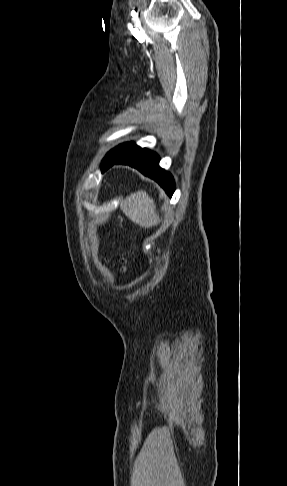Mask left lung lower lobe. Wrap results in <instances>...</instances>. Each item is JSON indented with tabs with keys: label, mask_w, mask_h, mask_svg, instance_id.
Wrapping results in <instances>:
<instances>
[{
	"label": "left lung lower lobe",
	"mask_w": 287,
	"mask_h": 486,
	"mask_svg": "<svg viewBox=\"0 0 287 486\" xmlns=\"http://www.w3.org/2000/svg\"><path fill=\"white\" fill-rule=\"evenodd\" d=\"M114 164H127L138 169L145 176L154 179L170 197L175 190L172 175L159 167V157L148 149L140 148L122 156L109 158L102 163V172Z\"/></svg>",
	"instance_id": "obj_1"
}]
</instances>
